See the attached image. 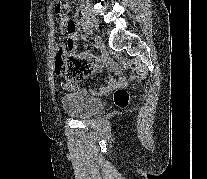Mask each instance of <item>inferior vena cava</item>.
I'll use <instances>...</instances> for the list:
<instances>
[{
    "instance_id": "inferior-vena-cava-1",
    "label": "inferior vena cava",
    "mask_w": 207,
    "mask_h": 179,
    "mask_svg": "<svg viewBox=\"0 0 207 179\" xmlns=\"http://www.w3.org/2000/svg\"><path fill=\"white\" fill-rule=\"evenodd\" d=\"M79 1H81V2H85V1H88V0H79Z\"/></svg>"
}]
</instances>
